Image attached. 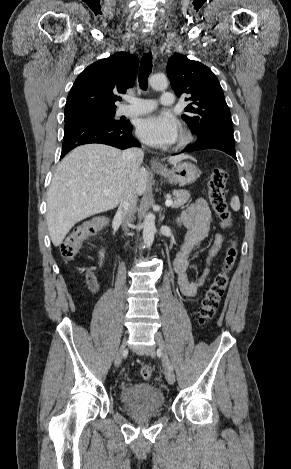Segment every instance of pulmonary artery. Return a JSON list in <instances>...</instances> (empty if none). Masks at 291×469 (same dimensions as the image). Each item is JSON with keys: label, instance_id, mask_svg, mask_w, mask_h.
Returning a JSON list of instances; mask_svg holds the SVG:
<instances>
[{"label": "pulmonary artery", "instance_id": "pulmonary-artery-1", "mask_svg": "<svg viewBox=\"0 0 291 469\" xmlns=\"http://www.w3.org/2000/svg\"><path fill=\"white\" fill-rule=\"evenodd\" d=\"M130 104L122 106L119 110L121 115H142L155 109L156 103L150 99L131 98ZM160 104L170 107L174 104V95L171 92H162L160 96Z\"/></svg>", "mask_w": 291, "mask_h": 469}]
</instances>
